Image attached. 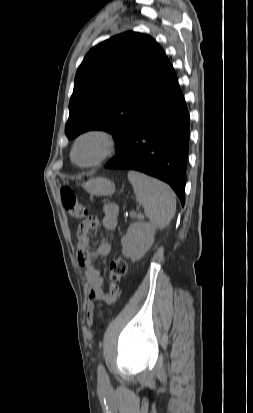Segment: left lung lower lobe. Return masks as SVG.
<instances>
[{
    "label": "left lung lower lobe",
    "instance_id": "1",
    "mask_svg": "<svg viewBox=\"0 0 253 413\" xmlns=\"http://www.w3.org/2000/svg\"><path fill=\"white\" fill-rule=\"evenodd\" d=\"M189 113L170 64L127 125L109 169L137 170L168 183L185 203Z\"/></svg>",
    "mask_w": 253,
    "mask_h": 413
}]
</instances>
